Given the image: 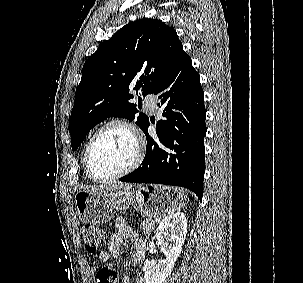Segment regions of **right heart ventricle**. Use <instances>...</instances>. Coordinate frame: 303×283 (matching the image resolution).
<instances>
[{"instance_id": "right-heart-ventricle-1", "label": "right heart ventricle", "mask_w": 303, "mask_h": 283, "mask_svg": "<svg viewBox=\"0 0 303 283\" xmlns=\"http://www.w3.org/2000/svg\"><path fill=\"white\" fill-rule=\"evenodd\" d=\"M83 166H84V159H83ZM84 171H85L86 176H87L88 178H90V177L88 176L87 172H86L85 166H84ZM90 179H91V178H90Z\"/></svg>"}]
</instances>
